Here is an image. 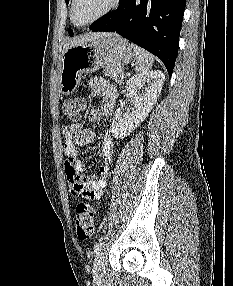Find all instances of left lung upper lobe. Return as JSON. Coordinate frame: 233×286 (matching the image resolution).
Listing matches in <instances>:
<instances>
[{
	"mask_svg": "<svg viewBox=\"0 0 233 286\" xmlns=\"http://www.w3.org/2000/svg\"><path fill=\"white\" fill-rule=\"evenodd\" d=\"M65 2H66V4H68L69 3V0H65ZM69 35L70 36H73V31L69 28Z\"/></svg>",
	"mask_w": 233,
	"mask_h": 286,
	"instance_id": "left-lung-upper-lobe-1",
	"label": "left lung upper lobe"
}]
</instances>
